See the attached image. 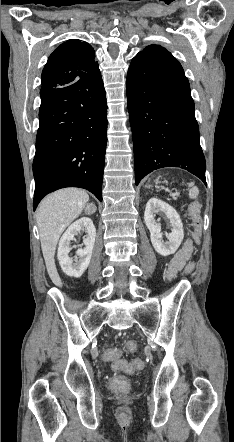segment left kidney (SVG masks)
Segmentation results:
<instances>
[{
    "instance_id": "left-kidney-1",
    "label": "left kidney",
    "mask_w": 234,
    "mask_h": 442,
    "mask_svg": "<svg viewBox=\"0 0 234 442\" xmlns=\"http://www.w3.org/2000/svg\"><path fill=\"white\" fill-rule=\"evenodd\" d=\"M163 212L171 223V233L167 234L168 241H163L161 224L156 222L155 214ZM144 221L150 231L151 243L154 249L162 256H168L176 252L183 238V224L179 214L166 202L158 198H150L146 204Z\"/></svg>"
}]
</instances>
